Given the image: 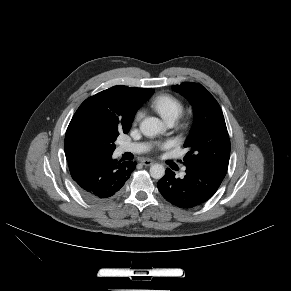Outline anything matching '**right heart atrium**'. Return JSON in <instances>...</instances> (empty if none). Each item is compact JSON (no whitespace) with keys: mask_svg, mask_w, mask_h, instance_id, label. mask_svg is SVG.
Segmentation results:
<instances>
[{"mask_svg":"<svg viewBox=\"0 0 291 291\" xmlns=\"http://www.w3.org/2000/svg\"><path fill=\"white\" fill-rule=\"evenodd\" d=\"M142 117V112L141 111H138L135 115V121H138L140 120V118Z\"/></svg>","mask_w":291,"mask_h":291,"instance_id":"d8ad5b80","label":"right heart atrium"}]
</instances>
